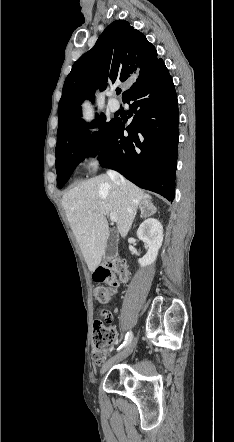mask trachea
Returning <instances> with one entry per match:
<instances>
[{"instance_id": "obj_1", "label": "trachea", "mask_w": 234, "mask_h": 442, "mask_svg": "<svg viewBox=\"0 0 234 442\" xmlns=\"http://www.w3.org/2000/svg\"><path fill=\"white\" fill-rule=\"evenodd\" d=\"M116 93H117V95H119L121 93V89H117Z\"/></svg>"}]
</instances>
